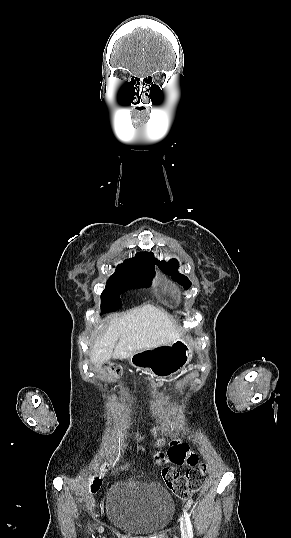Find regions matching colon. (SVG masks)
Masks as SVG:
<instances>
[{
    "label": "colon",
    "instance_id": "obj_1",
    "mask_svg": "<svg viewBox=\"0 0 291 538\" xmlns=\"http://www.w3.org/2000/svg\"><path fill=\"white\" fill-rule=\"evenodd\" d=\"M105 369L114 375L120 373V367L117 364L107 365ZM157 431V428L153 429L155 434H157ZM167 456L169 461L174 464L186 462L191 466L185 474H180L172 467H166L162 472L167 487L177 497L182 499L189 498L202 487L206 476V466L204 464L197 465V458L186 443L171 442ZM100 482V477H93L89 485L91 491L97 490Z\"/></svg>",
    "mask_w": 291,
    "mask_h": 538
}]
</instances>
